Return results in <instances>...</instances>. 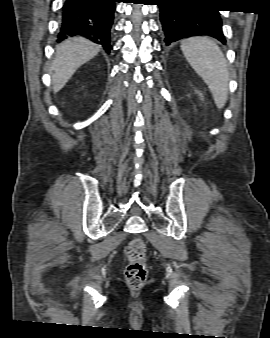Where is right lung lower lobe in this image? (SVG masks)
<instances>
[{
    "mask_svg": "<svg viewBox=\"0 0 270 338\" xmlns=\"http://www.w3.org/2000/svg\"><path fill=\"white\" fill-rule=\"evenodd\" d=\"M117 0H64L58 42L73 36L89 39L109 53Z\"/></svg>",
    "mask_w": 270,
    "mask_h": 338,
    "instance_id": "right-lung-lower-lobe-1",
    "label": "right lung lower lobe"
}]
</instances>
